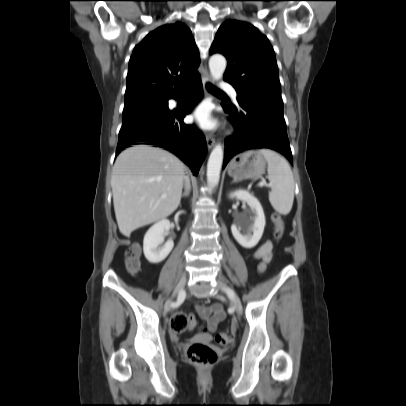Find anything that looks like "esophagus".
<instances>
[{
    "label": "esophagus",
    "instance_id": "esophagus-1",
    "mask_svg": "<svg viewBox=\"0 0 406 406\" xmlns=\"http://www.w3.org/2000/svg\"><path fill=\"white\" fill-rule=\"evenodd\" d=\"M203 85L206 86L207 83L211 82V77L208 72H206L202 77ZM206 142L208 149H211L215 144V138L209 134L206 135Z\"/></svg>",
    "mask_w": 406,
    "mask_h": 406
}]
</instances>
